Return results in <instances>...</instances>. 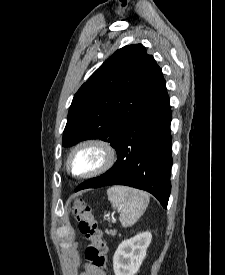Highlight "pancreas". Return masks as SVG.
<instances>
[{
    "mask_svg": "<svg viewBox=\"0 0 225 275\" xmlns=\"http://www.w3.org/2000/svg\"><path fill=\"white\" fill-rule=\"evenodd\" d=\"M105 232L107 234H111L112 236H114L116 234V230H110V231L106 230Z\"/></svg>",
    "mask_w": 225,
    "mask_h": 275,
    "instance_id": "pancreas-1",
    "label": "pancreas"
}]
</instances>
